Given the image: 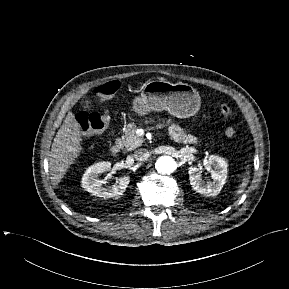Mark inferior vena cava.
<instances>
[{"mask_svg": "<svg viewBox=\"0 0 289 289\" xmlns=\"http://www.w3.org/2000/svg\"><path fill=\"white\" fill-rule=\"evenodd\" d=\"M133 156L137 161H146L150 154L146 149H138L134 152Z\"/></svg>", "mask_w": 289, "mask_h": 289, "instance_id": "1", "label": "inferior vena cava"}]
</instances>
